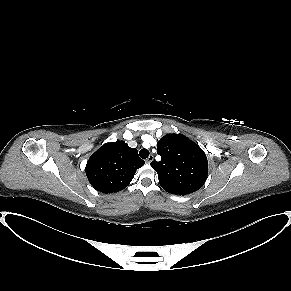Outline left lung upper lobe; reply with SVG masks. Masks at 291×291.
<instances>
[{
  "mask_svg": "<svg viewBox=\"0 0 291 291\" xmlns=\"http://www.w3.org/2000/svg\"><path fill=\"white\" fill-rule=\"evenodd\" d=\"M161 161H152L161 187L168 193L187 195L200 189L208 175L203 150L182 134H167L157 143Z\"/></svg>",
  "mask_w": 291,
  "mask_h": 291,
  "instance_id": "1",
  "label": "left lung upper lobe"
}]
</instances>
